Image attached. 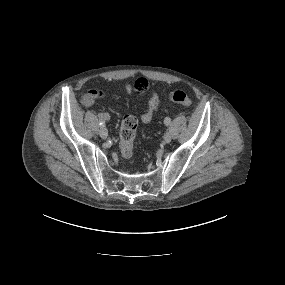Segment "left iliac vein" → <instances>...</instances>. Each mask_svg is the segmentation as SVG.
Segmentation results:
<instances>
[{"label": "left iliac vein", "instance_id": "1", "mask_svg": "<svg viewBox=\"0 0 285 285\" xmlns=\"http://www.w3.org/2000/svg\"><path fill=\"white\" fill-rule=\"evenodd\" d=\"M164 142L165 143H169V142H171V140H172V136H171V134L170 133H166L165 135H164Z\"/></svg>", "mask_w": 285, "mask_h": 285}]
</instances>
